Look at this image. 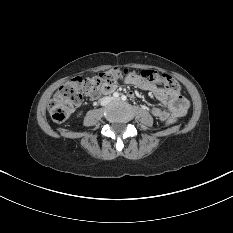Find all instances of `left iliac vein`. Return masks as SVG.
I'll return each mask as SVG.
<instances>
[{
	"instance_id": "1",
	"label": "left iliac vein",
	"mask_w": 233,
	"mask_h": 233,
	"mask_svg": "<svg viewBox=\"0 0 233 233\" xmlns=\"http://www.w3.org/2000/svg\"><path fill=\"white\" fill-rule=\"evenodd\" d=\"M114 100H115V101H118V100H120V98H115Z\"/></svg>"
}]
</instances>
